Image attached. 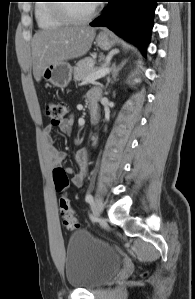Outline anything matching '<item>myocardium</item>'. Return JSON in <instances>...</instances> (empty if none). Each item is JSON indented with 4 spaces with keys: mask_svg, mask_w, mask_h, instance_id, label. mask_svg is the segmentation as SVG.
<instances>
[{
    "mask_svg": "<svg viewBox=\"0 0 195 299\" xmlns=\"http://www.w3.org/2000/svg\"><path fill=\"white\" fill-rule=\"evenodd\" d=\"M68 2V1H59ZM70 3H56L54 4V11L58 17L72 24H82L91 21L98 13V8L93 4L91 11L85 16H76L72 14L69 10Z\"/></svg>",
    "mask_w": 195,
    "mask_h": 299,
    "instance_id": "obj_1",
    "label": "myocardium"
}]
</instances>
